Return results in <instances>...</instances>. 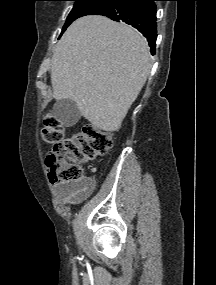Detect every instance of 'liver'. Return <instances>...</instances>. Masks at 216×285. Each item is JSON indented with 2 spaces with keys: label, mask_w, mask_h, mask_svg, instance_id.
I'll return each instance as SVG.
<instances>
[{
  "label": "liver",
  "mask_w": 216,
  "mask_h": 285,
  "mask_svg": "<svg viewBox=\"0 0 216 285\" xmlns=\"http://www.w3.org/2000/svg\"><path fill=\"white\" fill-rule=\"evenodd\" d=\"M152 63L147 40L103 16L74 21L54 50L51 84L56 100H73L96 128L117 131Z\"/></svg>",
  "instance_id": "6515ba94"
}]
</instances>
